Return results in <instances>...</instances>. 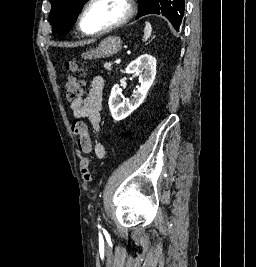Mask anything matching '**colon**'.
<instances>
[{
    "instance_id": "obj_1",
    "label": "colon",
    "mask_w": 256,
    "mask_h": 267,
    "mask_svg": "<svg viewBox=\"0 0 256 267\" xmlns=\"http://www.w3.org/2000/svg\"><path fill=\"white\" fill-rule=\"evenodd\" d=\"M66 69L69 72L67 77V99L68 101H76L79 99L82 92L83 69L78 62H69L66 64ZM71 129L78 136V144L83 152H89L91 148V139L85 121L82 118L76 117L72 120ZM91 162L88 159L81 161V173L86 184H90L92 180Z\"/></svg>"
}]
</instances>
